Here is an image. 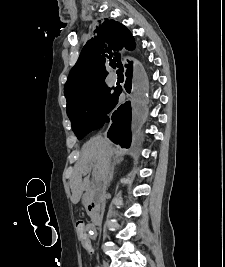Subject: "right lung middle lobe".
<instances>
[{
	"label": "right lung middle lobe",
	"mask_w": 225,
	"mask_h": 267,
	"mask_svg": "<svg viewBox=\"0 0 225 267\" xmlns=\"http://www.w3.org/2000/svg\"><path fill=\"white\" fill-rule=\"evenodd\" d=\"M116 98L117 88L113 92L112 88L101 83L88 88L77 99L67 103V115L79 140L103 125Z\"/></svg>",
	"instance_id": "dd1d6c3e"
}]
</instances>
